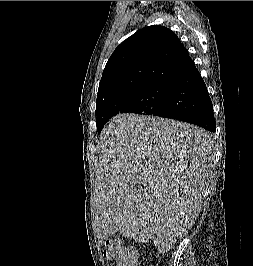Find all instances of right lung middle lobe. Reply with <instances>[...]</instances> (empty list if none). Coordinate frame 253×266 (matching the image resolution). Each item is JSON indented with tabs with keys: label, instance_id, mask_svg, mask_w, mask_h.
<instances>
[{
	"label": "right lung middle lobe",
	"instance_id": "1",
	"mask_svg": "<svg viewBox=\"0 0 253 266\" xmlns=\"http://www.w3.org/2000/svg\"><path fill=\"white\" fill-rule=\"evenodd\" d=\"M169 89L170 83L155 82L98 104L96 106L97 132L100 133L107 121L119 113L158 116L165 108Z\"/></svg>",
	"mask_w": 253,
	"mask_h": 266
}]
</instances>
